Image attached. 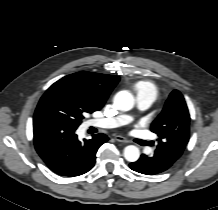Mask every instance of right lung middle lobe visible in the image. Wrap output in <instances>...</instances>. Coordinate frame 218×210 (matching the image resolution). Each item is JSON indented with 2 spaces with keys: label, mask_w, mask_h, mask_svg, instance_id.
<instances>
[{
  "label": "right lung middle lobe",
  "mask_w": 218,
  "mask_h": 210,
  "mask_svg": "<svg viewBox=\"0 0 218 210\" xmlns=\"http://www.w3.org/2000/svg\"><path fill=\"white\" fill-rule=\"evenodd\" d=\"M94 111L85 100L53 84L41 97L34 119L54 118L65 121L72 128L77 129L84 115Z\"/></svg>",
  "instance_id": "right-lung-middle-lobe-1"
}]
</instances>
